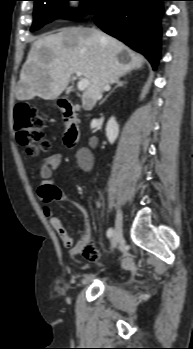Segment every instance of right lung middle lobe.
<instances>
[{"instance_id": "obj_1", "label": "right lung middle lobe", "mask_w": 193, "mask_h": 349, "mask_svg": "<svg viewBox=\"0 0 193 349\" xmlns=\"http://www.w3.org/2000/svg\"><path fill=\"white\" fill-rule=\"evenodd\" d=\"M34 21L31 31L41 28L44 24L51 22L55 18L62 15L64 8L69 1L74 0H34ZM81 2V7L75 13L71 14V18H80L86 14H90L96 7L99 0H75Z\"/></svg>"}]
</instances>
